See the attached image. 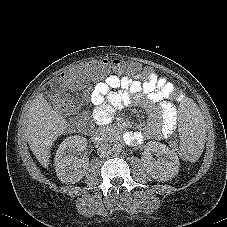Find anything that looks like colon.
Here are the masks:
<instances>
[{"label": "colon", "mask_w": 227, "mask_h": 227, "mask_svg": "<svg viewBox=\"0 0 227 227\" xmlns=\"http://www.w3.org/2000/svg\"><path fill=\"white\" fill-rule=\"evenodd\" d=\"M118 73L131 76L137 75L140 78L145 77L147 80H158L160 78V71L158 69L148 68L144 64L139 65L137 62L131 61L123 63L119 60L104 59L71 68L62 75L61 82L68 89L81 90L88 83H95L97 80H102L106 74L117 75ZM48 99L58 111L67 115H76V126L79 129L85 126L86 116L81 111L80 104L75 98L58 93H50ZM166 139L169 147L175 151L178 159L189 163L196 162L197 159L187 160L181 155L175 132H168Z\"/></svg>", "instance_id": "5ec220e1"}]
</instances>
